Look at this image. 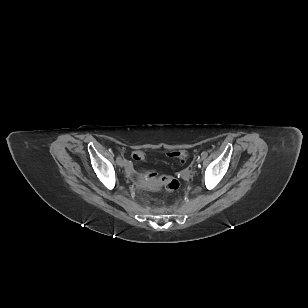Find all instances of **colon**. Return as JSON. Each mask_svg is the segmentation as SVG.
I'll use <instances>...</instances> for the list:
<instances>
[{
	"instance_id": "5ec220e1",
	"label": "colon",
	"mask_w": 308,
	"mask_h": 308,
	"mask_svg": "<svg viewBox=\"0 0 308 308\" xmlns=\"http://www.w3.org/2000/svg\"><path fill=\"white\" fill-rule=\"evenodd\" d=\"M169 156L184 160L187 157V152L185 150L175 151L169 153ZM144 157L145 154L142 151H136L133 153V159L135 161H140L144 159ZM145 176L147 179L164 187L168 192H175L179 189L180 186L179 181L174 177L158 174L156 172H146Z\"/></svg>"
}]
</instances>
